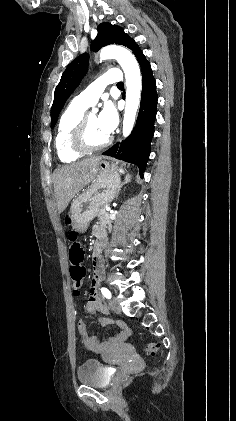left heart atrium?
<instances>
[{"mask_svg":"<svg viewBox=\"0 0 236 421\" xmlns=\"http://www.w3.org/2000/svg\"><path fill=\"white\" fill-rule=\"evenodd\" d=\"M100 123L104 130L111 134L118 124V116L115 110L114 105L111 102H108L101 114L99 115Z\"/></svg>","mask_w":236,"mask_h":421,"instance_id":"obj_1","label":"left heart atrium"}]
</instances>
